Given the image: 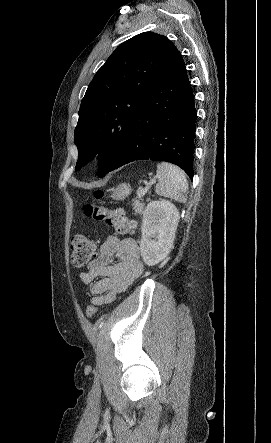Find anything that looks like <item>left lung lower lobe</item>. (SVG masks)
<instances>
[{
  "label": "left lung lower lobe",
  "mask_w": 271,
  "mask_h": 443,
  "mask_svg": "<svg viewBox=\"0 0 271 443\" xmlns=\"http://www.w3.org/2000/svg\"><path fill=\"white\" fill-rule=\"evenodd\" d=\"M146 96V105L136 116L109 172L135 160H159L178 165L192 180L197 116L178 50L154 78Z\"/></svg>",
  "instance_id": "0a47b994"
}]
</instances>
